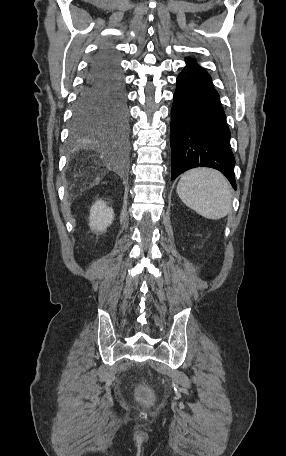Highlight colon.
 I'll use <instances>...</instances> for the list:
<instances>
[{"label": "colon", "mask_w": 286, "mask_h": 456, "mask_svg": "<svg viewBox=\"0 0 286 456\" xmlns=\"http://www.w3.org/2000/svg\"><path fill=\"white\" fill-rule=\"evenodd\" d=\"M137 392L139 395V398L145 402H148L151 400L152 394L150 388L147 386H139L137 388Z\"/></svg>", "instance_id": "obj_1"}]
</instances>
